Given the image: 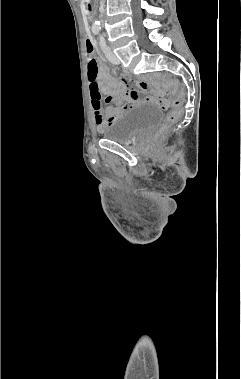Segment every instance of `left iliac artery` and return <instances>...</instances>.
<instances>
[{"label": "left iliac artery", "instance_id": "obj_1", "mask_svg": "<svg viewBox=\"0 0 241 379\" xmlns=\"http://www.w3.org/2000/svg\"><path fill=\"white\" fill-rule=\"evenodd\" d=\"M100 47L101 49L105 52L106 50V43H105V40H104V37L103 36H100Z\"/></svg>", "mask_w": 241, "mask_h": 379}]
</instances>
